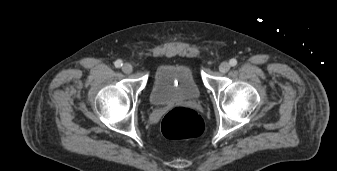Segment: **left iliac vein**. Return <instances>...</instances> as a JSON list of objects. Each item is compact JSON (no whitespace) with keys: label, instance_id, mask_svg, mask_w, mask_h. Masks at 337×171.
I'll use <instances>...</instances> for the list:
<instances>
[{"label":"left iliac vein","instance_id":"left-iliac-vein-1","mask_svg":"<svg viewBox=\"0 0 337 171\" xmlns=\"http://www.w3.org/2000/svg\"><path fill=\"white\" fill-rule=\"evenodd\" d=\"M230 69V64L228 62H222L220 65H219V71L221 73H226L228 72Z\"/></svg>","mask_w":337,"mask_h":171}]
</instances>
